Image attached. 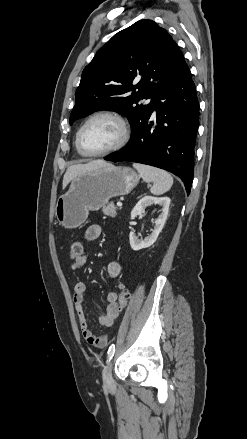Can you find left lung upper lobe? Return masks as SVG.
Instances as JSON below:
<instances>
[{
  "label": "left lung upper lobe",
  "instance_id": "5c2ea615",
  "mask_svg": "<svg viewBox=\"0 0 247 439\" xmlns=\"http://www.w3.org/2000/svg\"><path fill=\"white\" fill-rule=\"evenodd\" d=\"M186 65L164 28L152 20L134 23L115 34L83 70L70 125L95 111L112 110L125 115L135 133L150 117L158 92ZM144 98L152 99L138 105Z\"/></svg>",
  "mask_w": 247,
  "mask_h": 439
}]
</instances>
